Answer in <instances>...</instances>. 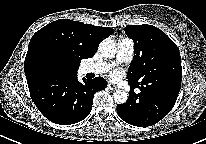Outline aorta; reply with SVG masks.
<instances>
[{
	"instance_id": "762f6f07",
	"label": "aorta",
	"mask_w": 206,
	"mask_h": 144,
	"mask_svg": "<svg viewBox=\"0 0 206 144\" xmlns=\"http://www.w3.org/2000/svg\"><path fill=\"white\" fill-rule=\"evenodd\" d=\"M99 51L103 57L112 58L117 53V45L112 39H105L99 44ZM117 104H124L128 99V93L124 90H116L113 94Z\"/></svg>"
}]
</instances>
